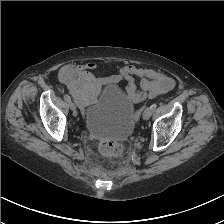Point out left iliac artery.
Masks as SVG:
<instances>
[{"label":"left iliac artery","mask_w":224,"mask_h":224,"mask_svg":"<svg viewBox=\"0 0 224 224\" xmlns=\"http://www.w3.org/2000/svg\"><path fill=\"white\" fill-rule=\"evenodd\" d=\"M156 107H157V104H156V103H153V104L150 106V109L152 110V112L155 111Z\"/></svg>","instance_id":"left-iliac-artery-1"}]
</instances>
